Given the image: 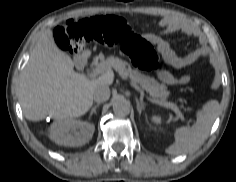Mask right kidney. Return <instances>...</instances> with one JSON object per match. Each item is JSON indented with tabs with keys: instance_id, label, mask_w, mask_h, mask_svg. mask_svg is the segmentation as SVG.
I'll list each match as a JSON object with an SVG mask.
<instances>
[{
	"instance_id": "right-kidney-1",
	"label": "right kidney",
	"mask_w": 236,
	"mask_h": 182,
	"mask_svg": "<svg viewBox=\"0 0 236 182\" xmlns=\"http://www.w3.org/2000/svg\"><path fill=\"white\" fill-rule=\"evenodd\" d=\"M95 131L91 123L65 119L57 120L50 127V139L58 145L78 147L89 142Z\"/></svg>"
}]
</instances>
